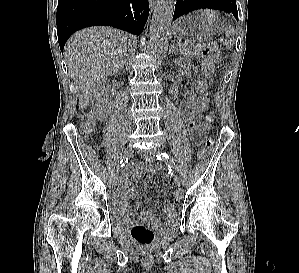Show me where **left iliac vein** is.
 <instances>
[{"instance_id":"1","label":"left iliac vein","mask_w":299,"mask_h":273,"mask_svg":"<svg viewBox=\"0 0 299 273\" xmlns=\"http://www.w3.org/2000/svg\"><path fill=\"white\" fill-rule=\"evenodd\" d=\"M146 153H147V155H149V156H154L155 154H159V153H160V150H159V149H153V150H149V151H147ZM174 181H175V184H176L177 186H180L181 183H182V179H181V177H180L179 175H177V174L174 175Z\"/></svg>"}]
</instances>
